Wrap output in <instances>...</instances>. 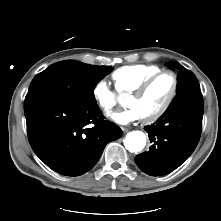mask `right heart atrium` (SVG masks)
Returning <instances> with one entry per match:
<instances>
[{"instance_id":"obj_1","label":"right heart atrium","mask_w":221,"mask_h":221,"mask_svg":"<svg viewBox=\"0 0 221 221\" xmlns=\"http://www.w3.org/2000/svg\"><path fill=\"white\" fill-rule=\"evenodd\" d=\"M93 98L105 115H109L117 103V96L106 81L101 80L95 84L92 90Z\"/></svg>"}]
</instances>
